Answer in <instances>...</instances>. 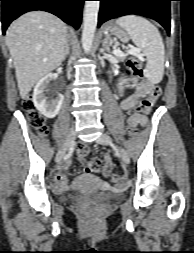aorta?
<instances>
[{"mask_svg": "<svg viewBox=\"0 0 194 253\" xmlns=\"http://www.w3.org/2000/svg\"><path fill=\"white\" fill-rule=\"evenodd\" d=\"M99 7V1L85 2L82 32V46L85 53H89L92 47L94 34L97 27Z\"/></svg>", "mask_w": 194, "mask_h": 253, "instance_id": "aorta-1", "label": "aorta"}]
</instances>
